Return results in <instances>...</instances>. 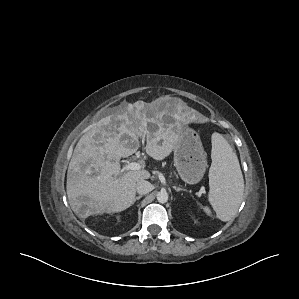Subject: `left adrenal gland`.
Returning <instances> with one entry per match:
<instances>
[{"label": "left adrenal gland", "instance_id": "a2214340", "mask_svg": "<svg viewBox=\"0 0 299 299\" xmlns=\"http://www.w3.org/2000/svg\"><path fill=\"white\" fill-rule=\"evenodd\" d=\"M174 189L177 191V192H180V191H186V189L182 188V187H174Z\"/></svg>", "mask_w": 299, "mask_h": 299}]
</instances>
